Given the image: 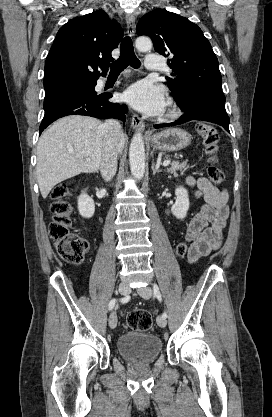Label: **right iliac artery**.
Wrapping results in <instances>:
<instances>
[{
  "label": "right iliac artery",
  "instance_id": "82829eb1",
  "mask_svg": "<svg viewBox=\"0 0 272 417\" xmlns=\"http://www.w3.org/2000/svg\"><path fill=\"white\" fill-rule=\"evenodd\" d=\"M129 300H130V297L127 295V296L121 298L120 302L127 303ZM116 301L117 300L114 298L109 302V310H112L114 308Z\"/></svg>",
  "mask_w": 272,
  "mask_h": 417
}]
</instances>
